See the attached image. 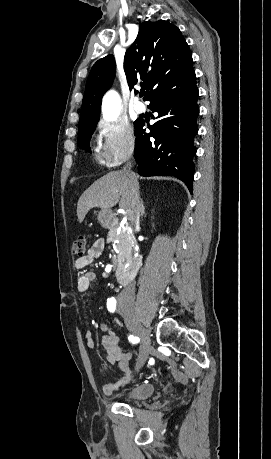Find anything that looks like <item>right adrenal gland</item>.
Wrapping results in <instances>:
<instances>
[{"instance_id":"2a0ac1e0","label":"right adrenal gland","mask_w":271,"mask_h":459,"mask_svg":"<svg viewBox=\"0 0 271 459\" xmlns=\"http://www.w3.org/2000/svg\"><path fill=\"white\" fill-rule=\"evenodd\" d=\"M141 208H142L141 216H144V210H145V208H144V206H143L142 200H141Z\"/></svg>"}]
</instances>
